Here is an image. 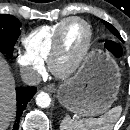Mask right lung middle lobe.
Segmentation results:
<instances>
[{
  "instance_id": "1",
  "label": "right lung middle lobe",
  "mask_w": 130,
  "mask_h": 130,
  "mask_svg": "<svg viewBox=\"0 0 130 130\" xmlns=\"http://www.w3.org/2000/svg\"><path fill=\"white\" fill-rule=\"evenodd\" d=\"M21 23L12 15H0V52L12 56L14 45L21 33Z\"/></svg>"
}]
</instances>
